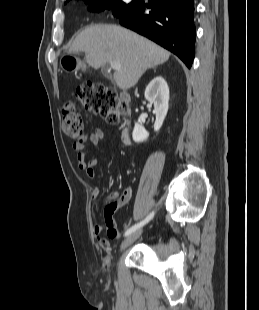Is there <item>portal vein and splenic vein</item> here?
I'll use <instances>...</instances> for the list:
<instances>
[{
    "mask_svg": "<svg viewBox=\"0 0 259 310\" xmlns=\"http://www.w3.org/2000/svg\"><path fill=\"white\" fill-rule=\"evenodd\" d=\"M110 66L114 70H119L121 68V64L118 61H111Z\"/></svg>",
    "mask_w": 259,
    "mask_h": 310,
    "instance_id": "18ae733b",
    "label": "portal vein and splenic vein"
}]
</instances>
